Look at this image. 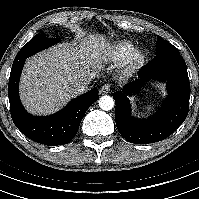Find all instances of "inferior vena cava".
<instances>
[{
  "instance_id": "602c4592",
  "label": "inferior vena cava",
  "mask_w": 199,
  "mask_h": 199,
  "mask_svg": "<svg viewBox=\"0 0 199 199\" xmlns=\"http://www.w3.org/2000/svg\"><path fill=\"white\" fill-rule=\"evenodd\" d=\"M92 78H84L74 84V92L76 94L83 93L88 89V85L91 82Z\"/></svg>"
}]
</instances>
